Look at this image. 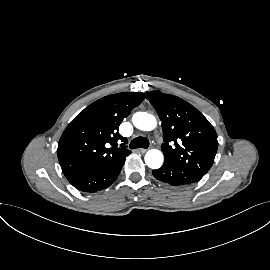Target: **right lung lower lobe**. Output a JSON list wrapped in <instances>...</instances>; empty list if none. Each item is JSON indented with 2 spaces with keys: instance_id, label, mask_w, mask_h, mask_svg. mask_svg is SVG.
<instances>
[{
  "instance_id": "right-lung-lower-lobe-1",
  "label": "right lung lower lobe",
  "mask_w": 270,
  "mask_h": 270,
  "mask_svg": "<svg viewBox=\"0 0 270 270\" xmlns=\"http://www.w3.org/2000/svg\"><path fill=\"white\" fill-rule=\"evenodd\" d=\"M125 162V157L109 166L93 169L71 176L68 181L83 192H97L109 187L118 177Z\"/></svg>"
}]
</instances>
